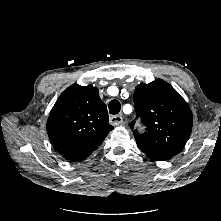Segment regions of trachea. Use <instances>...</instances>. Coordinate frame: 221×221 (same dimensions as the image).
I'll return each mask as SVG.
<instances>
[{"label":"trachea","instance_id":"trachea-1","mask_svg":"<svg viewBox=\"0 0 221 221\" xmlns=\"http://www.w3.org/2000/svg\"><path fill=\"white\" fill-rule=\"evenodd\" d=\"M121 104L118 100L114 99L109 103V112L112 115H116L120 112Z\"/></svg>","mask_w":221,"mask_h":221}]
</instances>
